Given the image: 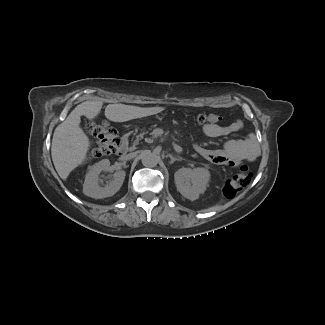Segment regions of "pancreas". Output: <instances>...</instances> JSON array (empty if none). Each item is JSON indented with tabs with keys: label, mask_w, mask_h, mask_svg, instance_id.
Returning a JSON list of instances; mask_svg holds the SVG:
<instances>
[{
	"label": "pancreas",
	"mask_w": 325,
	"mask_h": 325,
	"mask_svg": "<svg viewBox=\"0 0 325 325\" xmlns=\"http://www.w3.org/2000/svg\"><path fill=\"white\" fill-rule=\"evenodd\" d=\"M151 132V129L149 127L142 128L140 130V133L137 136H134L132 138L133 145H136L137 147L140 145V142L144 137H146Z\"/></svg>",
	"instance_id": "pancreas-1"
}]
</instances>
